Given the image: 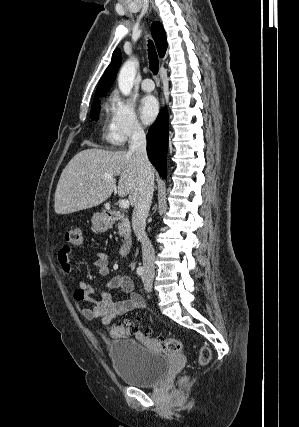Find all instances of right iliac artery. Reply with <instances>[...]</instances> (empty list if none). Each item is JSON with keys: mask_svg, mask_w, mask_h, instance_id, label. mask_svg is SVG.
<instances>
[{"mask_svg": "<svg viewBox=\"0 0 299 427\" xmlns=\"http://www.w3.org/2000/svg\"><path fill=\"white\" fill-rule=\"evenodd\" d=\"M136 272H137V274H138L139 276H142V275H143V273H144V269H143V267H138V268H137V270H136Z\"/></svg>", "mask_w": 299, "mask_h": 427, "instance_id": "right-iliac-artery-1", "label": "right iliac artery"}]
</instances>
